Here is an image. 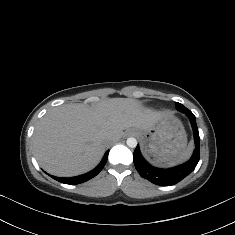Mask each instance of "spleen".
Here are the masks:
<instances>
[{"label": "spleen", "mask_w": 235, "mask_h": 235, "mask_svg": "<svg viewBox=\"0 0 235 235\" xmlns=\"http://www.w3.org/2000/svg\"><path fill=\"white\" fill-rule=\"evenodd\" d=\"M192 147H193V145L191 143L190 146L188 147V149L185 150L179 158H177V159H175L165 165H174L176 163H179V162L186 160L191 154Z\"/></svg>", "instance_id": "3e777b00"}]
</instances>
